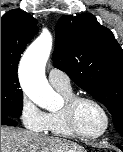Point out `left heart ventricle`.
<instances>
[{
    "label": "left heart ventricle",
    "mask_w": 123,
    "mask_h": 152,
    "mask_svg": "<svg viewBox=\"0 0 123 152\" xmlns=\"http://www.w3.org/2000/svg\"><path fill=\"white\" fill-rule=\"evenodd\" d=\"M76 118L80 130L87 134L100 132L105 124L102 112L89 102H82L78 105Z\"/></svg>",
    "instance_id": "obj_1"
}]
</instances>
